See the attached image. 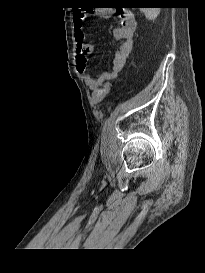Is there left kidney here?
Listing matches in <instances>:
<instances>
[{
  "label": "left kidney",
  "mask_w": 205,
  "mask_h": 273,
  "mask_svg": "<svg viewBox=\"0 0 205 273\" xmlns=\"http://www.w3.org/2000/svg\"><path fill=\"white\" fill-rule=\"evenodd\" d=\"M140 10L148 20H155L160 13V8H141Z\"/></svg>",
  "instance_id": "obj_1"
}]
</instances>
